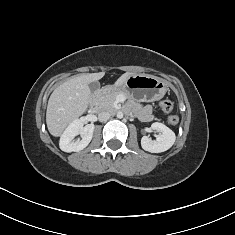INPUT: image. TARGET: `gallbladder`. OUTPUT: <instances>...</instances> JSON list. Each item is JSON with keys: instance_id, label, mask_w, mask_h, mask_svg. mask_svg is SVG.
Returning <instances> with one entry per match:
<instances>
[{"instance_id": "obj_1", "label": "gallbladder", "mask_w": 235, "mask_h": 235, "mask_svg": "<svg viewBox=\"0 0 235 235\" xmlns=\"http://www.w3.org/2000/svg\"><path fill=\"white\" fill-rule=\"evenodd\" d=\"M89 88L92 92H95L96 90L100 88V84L97 81L91 82L89 83Z\"/></svg>"}]
</instances>
